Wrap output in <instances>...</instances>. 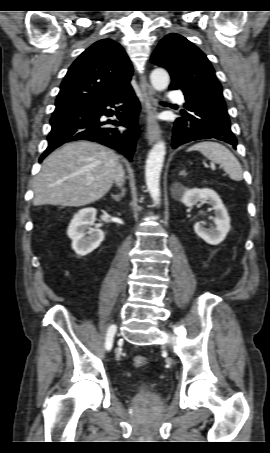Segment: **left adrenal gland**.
I'll list each match as a JSON object with an SVG mask.
<instances>
[{"mask_svg":"<svg viewBox=\"0 0 270 453\" xmlns=\"http://www.w3.org/2000/svg\"><path fill=\"white\" fill-rule=\"evenodd\" d=\"M180 175L186 176V175H187V173H186V171H185V170H182V171L180 172Z\"/></svg>","mask_w":270,"mask_h":453,"instance_id":"a2214340","label":"left adrenal gland"}]
</instances>
